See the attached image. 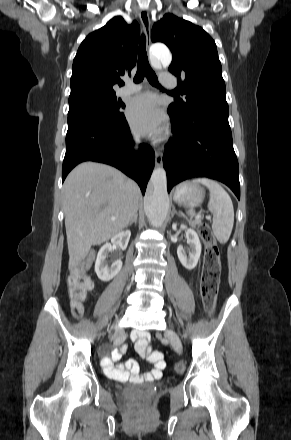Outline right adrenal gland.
<instances>
[{
    "instance_id": "right-adrenal-gland-1",
    "label": "right adrenal gland",
    "mask_w": 291,
    "mask_h": 440,
    "mask_svg": "<svg viewBox=\"0 0 291 440\" xmlns=\"http://www.w3.org/2000/svg\"><path fill=\"white\" fill-rule=\"evenodd\" d=\"M137 217H138V214H136L135 216H134V218L130 221V223L128 224V226H130V225H132L133 223H137Z\"/></svg>"
}]
</instances>
